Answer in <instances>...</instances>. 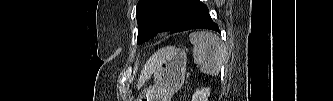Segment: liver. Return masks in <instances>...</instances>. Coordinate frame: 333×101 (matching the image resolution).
I'll return each instance as SVG.
<instances>
[{
	"mask_svg": "<svg viewBox=\"0 0 333 101\" xmlns=\"http://www.w3.org/2000/svg\"><path fill=\"white\" fill-rule=\"evenodd\" d=\"M157 52L154 56H152L144 65L143 70L141 71V75L138 81L137 86L141 87L145 81L158 69L159 60H158Z\"/></svg>",
	"mask_w": 333,
	"mask_h": 101,
	"instance_id": "6515ba94",
	"label": "liver"
}]
</instances>
